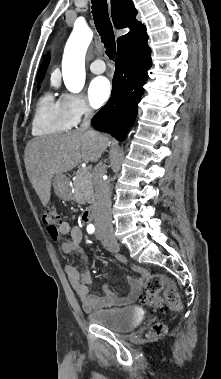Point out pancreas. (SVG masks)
Returning a JSON list of instances; mask_svg holds the SVG:
<instances>
[{
  "instance_id": "obj_1",
  "label": "pancreas",
  "mask_w": 221,
  "mask_h": 379,
  "mask_svg": "<svg viewBox=\"0 0 221 379\" xmlns=\"http://www.w3.org/2000/svg\"><path fill=\"white\" fill-rule=\"evenodd\" d=\"M72 187L74 189V199L77 202L86 203L93 201L92 174L87 169H80L76 172Z\"/></svg>"
}]
</instances>
